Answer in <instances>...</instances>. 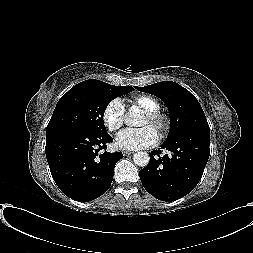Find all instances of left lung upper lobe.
<instances>
[{"label": "left lung upper lobe", "mask_w": 253, "mask_h": 253, "mask_svg": "<svg viewBox=\"0 0 253 253\" xmlns=\"http://www.w3.org/2000/svg\"><path fill=\"white\" fill-rule=\"evenodd\" d=\"M137 90L164 101L170 113L171 127L166 140L188 131L210 133L209 125L198 100L184 87L172 81L158 82Z\"/></svg>", "instance_id": "obj_1"}]
</instances>
